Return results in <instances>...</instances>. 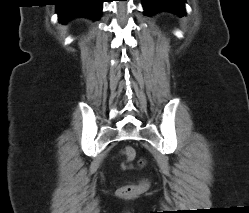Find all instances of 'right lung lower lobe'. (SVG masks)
Returning <instances> with one entry per match:
<instances>
[{"instance_id": "98d812e1", "label": "right lung lower lobe", "mask_w": 249, "mask_h": 213, "mask_svg": "<svg viewBox=\"0 0 249 213\" xmlns=\"http://www.w3.org/2000/svg\"><path fill=\"white\" fill-rule=\"evenodd\" d=\"M57 2V13L63 22L75 16L98 19L102 12L103 0H58Z\"/></svg>"}]
</instances>
